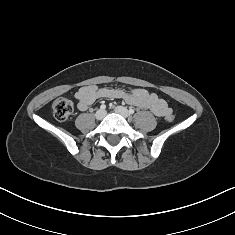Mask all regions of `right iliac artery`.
<instances>
[{"label": "right iliac artery", "mask_w": 235, "mask_h": 235, "mask_svg": "<svg viewBox=\"0 0 235 235\" xmlns=\"http://www.w3.org/2000/svg\"><path fill=\"white\" fill-rule=\"evenodd\" d=\"M100 108H101V110H105V109H106V105L102 104V105L100 106Z\"/></svg>", "instance_id": "right-iliac-artery-1"}]
</instances>
